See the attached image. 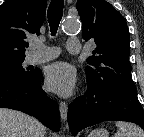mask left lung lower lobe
I'll return each instance as SVG.
<instances>
[{"mask_svg":"<svg viewBox=\"0 0 144 137\" xmlns=\"http://www.w3.org/2000/svg\"><path fill=\"white\" fill-rule=\"evenodd\" d=\"M110 120L133 122L144 130V111L136 89L88 88L68 108V122L73 135L88 126Z\"/></svg>","mask_w":144,"mask_h":137,"instance_id":"1","label":"left lung lower lobe"}]
</instances>
